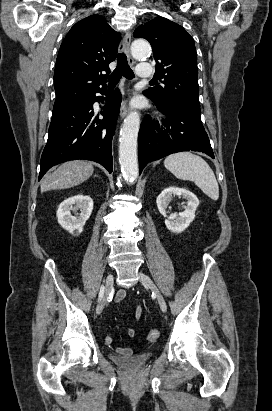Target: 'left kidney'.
I'll use <instances>...</instances> for the list:
<instances>
[{"label":"left kidney","instance_id":"obj_1","mask_svg":"<svg viewBox=\"0 0 272 411\" xmlns=\"http://www.w3.org/2000/svg\"><path fill=\"white\" fill-rule=\"evenodd\" d=\"M175 196H182L187 200V205L183 206L184 211L179 214L174 213L167 216V207ZM159 212L166 217L165 225L168 230L174 233L184 231L195 218V211L199 205V200L195 194L184 188L168 187L164 189L156 200Z\"/></svg>","mask_w":272,"mask_h":411}]
</instances>
